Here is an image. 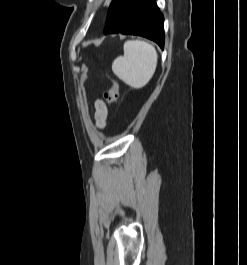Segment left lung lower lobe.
<instances>
[{"mask_svg":"<svg viewBox=\"0 0 247 265\" xmlns=\"http://www.w3.org/2000/svg\"><path fill=\"white\" fill-rule=\"evenodd\" d=\"M164 17L155 0H113L103 33L139 35L164 47Z\"/></svg>","mask_w":247,"mask_h":265,"instance_id":"1","label":"left lung lower lobe"}]
</instances>
